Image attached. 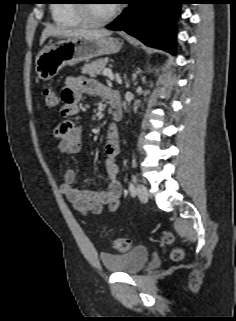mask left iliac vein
<instances>
[{
	"label": "left iliac vein",
	"instance_id": "obj_1",
	"mask_svg": "<svg viewBox=\"0 0 236 321\" xmlns=\"http://www.w3.org/2000/svg\"><path fill=\"white\" fill-rule=\"evenodd\" d=\"M136 192H137L138 198L140 199L141 202L146 203L148 201L149 195H148V191L144 185L138 184Z\"/></svg>",
	"mask_w": 236,
	"mask_h": 321
}]
</instances>
